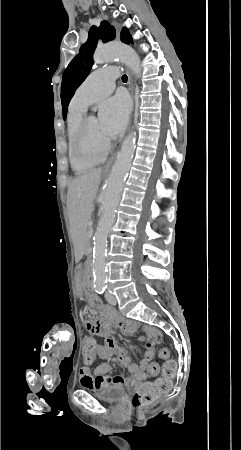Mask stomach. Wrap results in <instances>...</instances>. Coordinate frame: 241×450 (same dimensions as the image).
I'll use <instances>...</instances> for the list:
<instances>
[{
	"instance_id": "obj_1",
	"label": "stomach",
	"mask_w": 241,
	"mask_h": 450,
	"mask_svg": "<svg viewBox=\"0 0 241 450\" xmlns=\"http://www.w3.org/2000/svg\"><path fill=\"white\" fill-rule=\"evenodd\" d=\"M85 283L84 271L81 265H78L75 272V286L82 291Z\"/></svg>"
}]
</instances>
